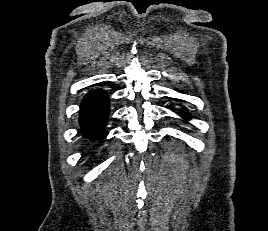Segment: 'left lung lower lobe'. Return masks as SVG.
<instances>
[{"label":"left lung lower lobe","instance_id":"1","mask_svg":"<svg viewBox=\"0 0 268 231\" xmlns=\"http://www.w3.org/2000/svg\"><path fill=\"white\" fill-rule=\"evenodd\" d=\"M181 116H182L184 119H189V118H190L189 113H187L186 111L181 112Z\"/></svg>","mask_w":268,"mask_h":231}]
</instances>
